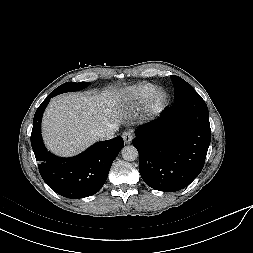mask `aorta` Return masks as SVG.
Segmentation results:
<instances>
[{
	"label": "aorta",
	"mask_w": 253,
	"mask_h": 253,
	"mask_svg": "<svg viewBox=\"0 0 253 253\" xmlns=\"http://www.w3.org/2000/svg\"><path fill=\"white\" fill-rule=\"evenodd\" d=\"M121 154L126 161H135L139 156L138 150L133 145L124 146L121 150Z\"/></svg>",
	"instance_id": "1"
}]
</instances>
